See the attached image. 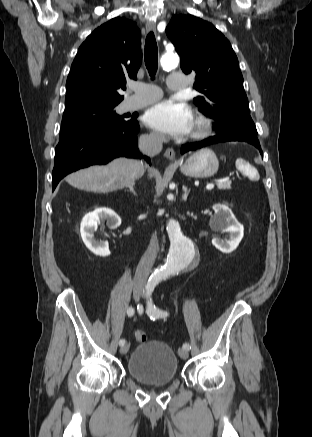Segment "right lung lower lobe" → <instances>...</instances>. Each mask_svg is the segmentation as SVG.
Wrapping results in <instances>:
<instances>
[{
  "label": "right lung lower lobe",
  "instance_id": "1",
  "mask_svg": "<svg viewBox=\"0 0 312 437\" xmlns=\"http://www.w3.org/2000/svg\"><path fill=\"white\" fill-rule=\"evenodd\" d=\"M133 117L122 125L99 129L79 135L66 142H59L55 148L52 190L67 174L93 164H106L115 157L150 159L139 153L137 136L139 124Z\"/></svg>",
  "mask_w": 312,
  "mask_h": 437
}]
</instances>
